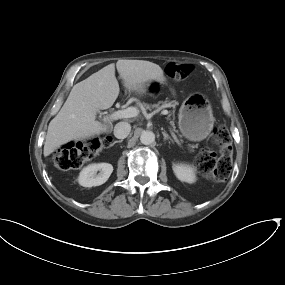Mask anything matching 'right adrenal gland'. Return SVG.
I'll list each match as a JSON object with an SVG mask.
<instances>
[{"label": "right adrenal gland", "instance_id": "1", "mask_svg": "<svg viewBox=\"0 0 285 285\" xmlns=\"http://www.w3.org/2000/svg\"><path fill=\"white\" fill-rule=\"evenodd\" d=\"M122 141H123V140H116V141L113 142L112 145H114L115 143H121Z\"/></svg>", "mask_w": 285, "mask_h": 285}]
</instances>
